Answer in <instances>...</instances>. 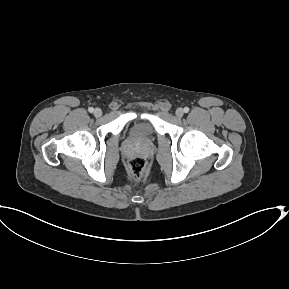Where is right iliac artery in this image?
<instances>
[{
    "mask_svg": "<svg viewBox=\"0 0 289 289\" xmlns=\"http://www.w3.org/2000/svg\"><path fill=\"white\" fill-rule=\"evenodd\" d=\"M88 111H89L90 113H93V112H94V108L90 107V108L88 109Z\"/></svg>",
    "mask_w": 289,
    "mask_h": 289,
    "instance_id": "1",
    "label": "right iliac artery"
}]
</instances>
